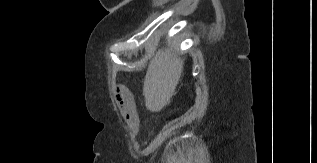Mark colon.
<instances>
[{
    "label": "colon",
    "mask_w": 317,
    "mask_h": 163,
    "mask_svg": "<svg viewBox=\"0 0 317 163\" xmlns=\"http://www.w3.org/2000/svg\"><path fill=\"white\" fill-rule=\"evenodd\" d=\"M127 96H128V90L126 88L124 87H122L121 89L118 88L117 95H116L117 102L119 98H121V100H126Z\"/></svg>",
    "instance_id": "1"
}]
</instances>
